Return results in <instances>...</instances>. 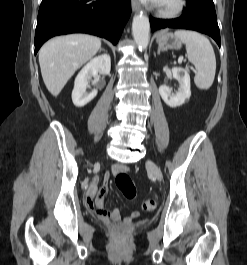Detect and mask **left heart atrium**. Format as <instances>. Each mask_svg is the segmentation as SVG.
Returning <instances> with one entry per match:
<instances>
[{
	"instance_id": "39dd6f15",
	"label": "left heart atrium",
	"mask_w": 247,
	"mask_h": 265,
	"mask_svg": "<svg viewBox=\"0 0 247 265\" xmlns=\"http://www.w3.org/2000/svg\"><path fill=\"white\" fill-rule=\"evenodd\" d=\"M143 1L156 3V2H160L161 0H143Z\"/></svg>"
}]
</instances>
